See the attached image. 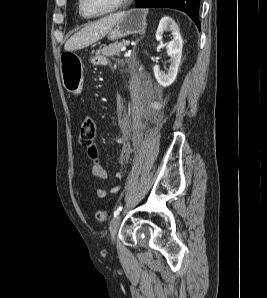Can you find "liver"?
Returning <instances> with one entry per match:
<instances>
[{
    "mask_svg": "<svg viewBox=\"0 0 267 298\" xmlns=\"http://www.w3.org/2000/svg\"><path fill=\"white\" fill-rule=\"evenodd\" d=\"M123 12L110 14L91 24L70 37L64 45L65 51H74L88 47L104 37L122 17Z\"/></svg>",
    "mask_w": 267,
    "mask_h": 298,
    "instance_id": "liver-1",
    "label": "liver"
}]
</instances>
